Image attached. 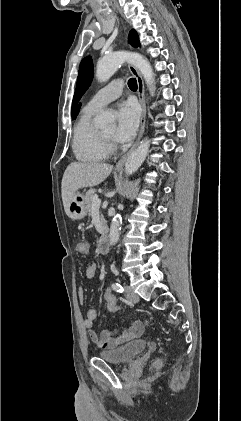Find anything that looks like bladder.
Wrapping results in <instances>:
<instances>
[{
	"label": "bladder",
	"mask_w": 241,
	"mask_h": 421,
	"mask_svg": "<svg viewBox=\"0 0 241 421\" xmlns=\"http://www.w3.org/2000/svg\"><path fill=\"white\" fill-rule=\"evenodd\" d=\"M147 346L148 342L146 340L138 339L121 347L102 351L98 354V357L112 364H126L144 352Z\"/></svg>",
	"instance_id": "obj_1"
}]
</instances>
